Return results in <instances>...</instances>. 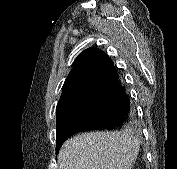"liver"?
<instances>
[{
  "label": "liver",
  "instance_id": "obj_1",
  "mask_svg": "<svg viewBox=\"0 0 177 169\" xmlns=\"http://www.w3.org/2000/svg\"><path fill=\"white\" fill-rule=\"evenodd\" d=\"M139 142L129 132H89L67 140L58 154L59 169H131Z\"/></svg>",
  "mask_w": 177,
  "mask_h": 169
}]
</instances>
